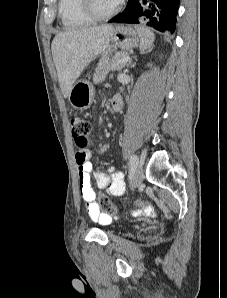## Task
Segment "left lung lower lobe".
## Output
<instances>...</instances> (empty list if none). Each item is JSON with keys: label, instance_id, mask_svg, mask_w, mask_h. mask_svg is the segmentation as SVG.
Instances as JSON below:
<instances>
[{"label": "left lung lower lobe", "instance_id": "0a47b994", "mask_svg": "<svg viewBox=\"0 0 227 298\" xmlns=\"http://www.w3.org/2000/svg\"><path fill=\"white\" fill-rule=\"evenodd\" d=\"M179 0H128L125 10L109 22L144 23L164 32H173Z\"/></svg>", "mask_w": 227, "mask_h": 298}]
</instances>
